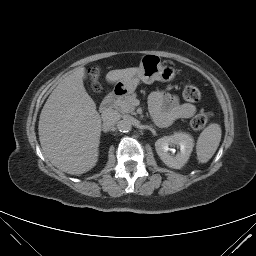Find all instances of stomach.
Instances as JSON below:
<instances>
[{
	"mask_svg": "<svg viewBox=\"0 0 256 256\" xmlns=\"http://www.w3.org/2000/svg\"><path fill=\"white\" fill-rule=\"evenodd\" d=\"M174 77L175 70L172 67L163 65L157 55L146 54L141 58L137 72L116 82L114 91L126 95L133 93L140 81L146 84H151L155 80L170 82Z\"/></svg>",
	"mask_w": 256,
	"mask_h": 256,
	"instance_id": "0dacf381",
	"label": "stomach"
}]
</instances>
